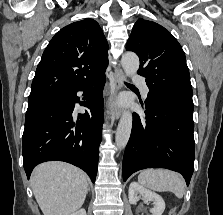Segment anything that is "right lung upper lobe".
I'll list each match as a JSON object with an SVG mask.
<instances>
[{
  "label": "right lung upper lobe",
  "instance_id": "right-lung-upper-lobe-1",
  "mask_svg": "<svg viewBox=\"0 0 223 215\" xmlns=\"http://www.w3.org/2000/svg\"><path fill=\"white\" fill-rule=\"evenodd\" d=\"M108 66V43L99 24L84 19L62 28L37 66L30 95L70 94Z\"/></svg>",
  "mask_w": 223,
  "mask_h": 215
}]
</instances>
